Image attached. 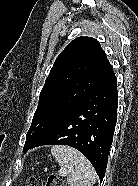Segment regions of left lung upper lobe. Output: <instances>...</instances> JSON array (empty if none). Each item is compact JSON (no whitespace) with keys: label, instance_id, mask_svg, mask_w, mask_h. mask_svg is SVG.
<instances>
[{"label":"left lung upper lobe","instance_id":"1","mask_svg":"<svg viewBox=\"0 0 138 186\" xmlns=\"http://www.w3.org/2000/svg\"><path fill=\"white\" fill-rule=\"evenodd\" d=\"M112 71L96 39L78 37L71 41L56 58L41 90L24 148L65 117Z\"/></svg>","mask_w":138,"mask_h":186}]
</instances>
